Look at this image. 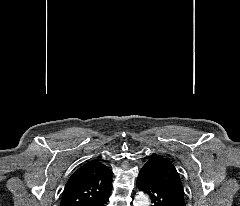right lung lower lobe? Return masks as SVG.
Returning <instances> with one entry per match:
<instances>
[{
    "label": "right lung lower lobe",
    "instance_id": "1",
    "mask_svg": "<svg viewBox=\"0 0 240 206\" xmlns=\"http://www.w3.org/2000/svg\"><path fill=\"white\" fill-rule=\"evenodd\" d=\"M110 193L111 192H109L108 194H106V195L96 199L95 201L87 204L86 206H105V204L107 203V200L110 196Z\"/></svg>",
    "mask_w": 240,
    "mask_h": 206
}]
</instances>
